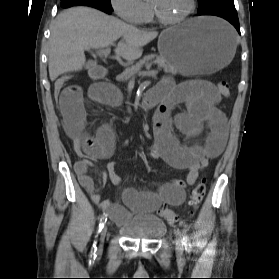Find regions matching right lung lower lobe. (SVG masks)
Wrapping results in <instances>:
<instances>
[{
    "instance_id": "right-lung-lower-lobe-1",
    "label": "right lung lower lobe",
    "mask_w": 279,
    "mask_h": 279,
    "mask_svg": "<svg viewBox=\"0 0 279 279\" xmlns=\"http://www.w3.org/2000/svg\"><path fill=\"white\" fill-rule=\"evenodd\" d=\"M63 8L71 6L84 5L97 8L105 13L111 14L112 10L100 4L97 0H61L60 4Z\"/></svg>"
}]
</instances>
